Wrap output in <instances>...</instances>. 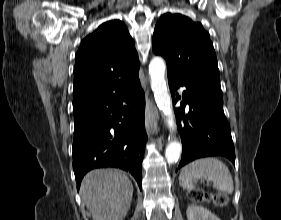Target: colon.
Returning <instances> with one entry per match:
<instances>
[{"label": "colon", "instance_id": "obj_1", "mask_svg": "<svg viewBox=\"0 0 281 220\" xmlns=\"http://www.w3.org/2000/svg\"><path fill=\"white\" fill-rule=\"evenodd\" d=\"M189 198L197 202H212L217 206H225L228 203V197L225 194H210L202 190H192L189 193Z\"/></svg>", "mask_w": 281, "mask_h": 220}]
</instances>
